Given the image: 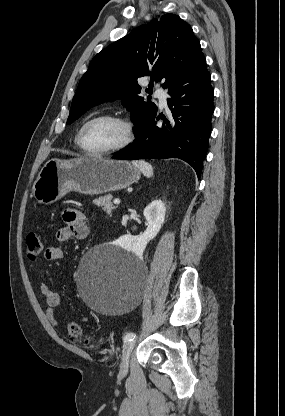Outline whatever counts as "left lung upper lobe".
<instances>
[{
  "label": "left lung upper lobe",
  "instance_id": "1",
  "mask_svg": "<svg viewBox=\"0 0 285 416\" xmlns=\"http://www.w3.org/2000/svg\"><path fill=\"white\" fill-rule=\"evenodd\" d=\"M192 28L179 16L165 14L112 43L90 62L72 100L67 124L91 107L121 99L131 111L137 134L157 113V106L139 96L137 80L144 76L169 88L201 57ZM148 89H146L147 91Z\"/></svg>",
  "mask_w": 285,
  "mask_h": 416
}]
</instances>
